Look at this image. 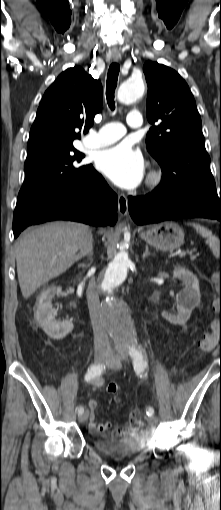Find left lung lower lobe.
Here are the masks:
<instances>
[{
    "mask_svg": "<svg viewBox=\"0 0 221 510\" xmlns=\"http://www.w3.org/2000/svg\"><path fill=\"white\" fill-rule=\"evenodd\" d=\"M128 208L139 225L188 217L217 219L221 224V194L217 192L162 193L155 188L146 196H130Z\"/></svg>",
    "mask_w": 221,
    "mask_h": 510,
    "instance_id": "left-lung-lower-lobe-1",
    "label": "left lung lower lobe"
}]
</instances>
